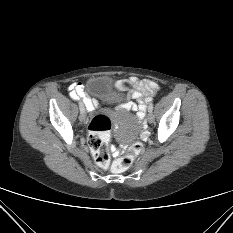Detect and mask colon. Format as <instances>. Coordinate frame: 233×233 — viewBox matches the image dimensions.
Returning a JSON list of instances; mask_svg holds the SVG:
<instances>
[{
  "instance_id": "1",
  "label": "colon",
  "mask_w": 233,
  "mask_h": 233,
  "mask_svg": "<svg viewBox=\"0 0 233 233\" xmlns=\"http://www.w3.org/2000/svg\"><path fill=\"white\" fill-rule=\"evenodd\" d=\"M122 86L125 88H132L128 82L123 83ZM111 128L112 121L107 115H95L88 125V145L99 167L108 168L110 166L112 172L120 173L127 170L132 165L136 157L142 151V144L139 142L132 144L124 157L115 160L110 165L108 142Z\"/></svg>"
}]
</instances>
